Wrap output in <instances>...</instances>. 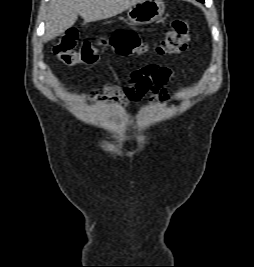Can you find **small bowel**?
Segmentation results:
<instances>
[{"label": "small bowel", "instance_id": "obj_1", "mask_svg": "<svg viewBox=\"0 0 254 267\" xmlns=\"http://www.w3.org/2000/svg\"><path fill=\"white\" fill-rule=\"evenodd\" d=\"M173 79V71L157 64H150L133 70L124 87L106 84L101 91L93 90L82 94V98L95 101L99 98L111 101L119 107H126L130 101H140L151 94L150 104L166 103L170 95L164 88Z\"/></svg>", "mask_w": 254, "mask_h": 267}]
</instances>
